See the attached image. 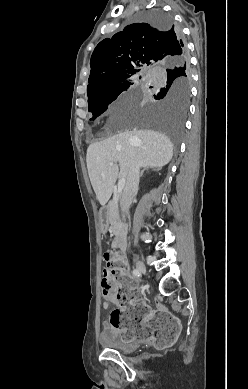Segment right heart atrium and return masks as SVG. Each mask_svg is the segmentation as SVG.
I'll return each mask as SVG.
<instances>
[{
  "label": "right heart atrium",
  "instance_id": "obj_1",
  "mask_svg": "<svg viewBox=\"0 0 248 389\" xmlns=\"http://www.w3.org/2000/svg\"><path fill=\"white\" fill-rule=\"evenodd\" d=\"M112 112H113L112 106H108L105 114H106L107 117H111L112 116Z\"/></svg>",
  "mask_w": 248,
  "mask_h": 389
}]
</instances>
